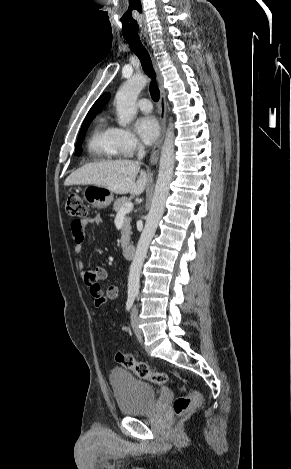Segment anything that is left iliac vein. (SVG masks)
<instances>
[{
	"mask_svg": "<svg viewBox=\"0 0 291 469\" xmlns=\"http://www.w3.org/2000/svg\"><path fill=\"white\" fill-rule=\"evenodd\" d=\"M131 325H132V329H133L135 335L138 338H141L142 337V331L138 326V309H137L136 306H134V308L131 312Z\"/></svg>",
	"mask_w": 291,
	"mask_h": 469,
	"instance_id": "1",
	"label": "left iliac vein"
}]
</instances>
